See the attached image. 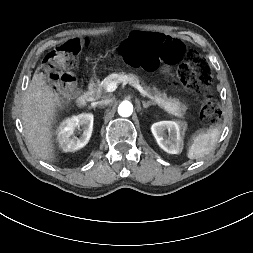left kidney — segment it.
<instances>
[{
  "label": "left kidney",
  "mask_w": 253,
  "mask_h": 253,
  "mask_svg": "<svg viewBox=\"0 0 253 253\" xmlns=\"http://www.w3.org/2000/svg\"><path fill=\"white\" fill-rule=\"evenodd\" d=\"M183 122L160 121L151 126L158 145L169 154H178L182 150L181 129Z\"/></svg>",
  "instance_id": "left-kidney-1"
}]
</instances>
